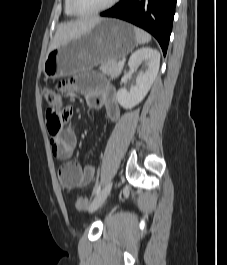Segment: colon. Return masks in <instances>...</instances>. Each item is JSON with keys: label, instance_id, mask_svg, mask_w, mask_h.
I'll return each mask as SVG.
<instances>
[{"label": "colon", "instance_id": "obj_1", "mask_svg": "<svg viewBox=\"0 0 227 265\" xmlns=\"http://www.w3.org/2000/svg\"><path fill=\"white\" fill-rule=\"evenodd\" d=\"M42 95L46 103L51 107L46 116L48 131L51 135H56L60 132L62 125L72 114L70 106L63 105L61 96L49 88L42 89ZM88 205V200L79 197L75 201V206L78 209H84Z\"/></svg>", "mask_w": 227, "mask_h": 265}]
</instances>
